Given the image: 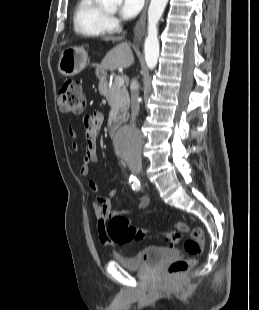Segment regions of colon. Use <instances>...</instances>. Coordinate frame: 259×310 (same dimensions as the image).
Segmentation results:
<instances>
[{"label":"colon","mask_w":259,"mask_h":310,"mask_svg":"<svg viewBox=\"0 0 259 310\" xmlns=\"http://www.w3.org/2000/svg\"><path fill=\"white\" fill-rule=\"evenodd\" d=\"M57 106L64 113L79 115L84 111L85 99L79 81L72 79L64 81L57 96ZM174 227L176 230L164 233L163 239L171 245H176L181 242L182 233H189L190 237L184 242V249L190 258L172 262L168 268L172 276L189 270L195 262L194 257L199 255L204 247L203 231L200 227L191 226L185 222H177ZM107 231L109 237L119 244L140 240L150 234L149 231L133 225L129 218L120 214L111 217Z\"/></svg>","instance_id":"5ec220e1"}]
</instances>
